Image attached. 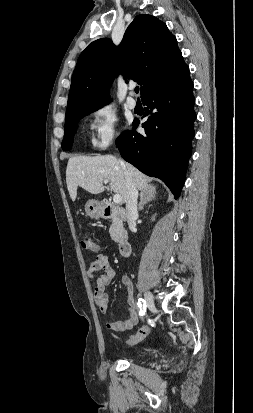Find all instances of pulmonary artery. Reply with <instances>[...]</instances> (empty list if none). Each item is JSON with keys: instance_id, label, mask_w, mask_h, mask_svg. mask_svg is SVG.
<instances>
[{"instance_id": "obj_1", "label": "pulmonary artery", "mask_w": 253, "mask_h": 413, "mask_svg": "<svg viewBox=\"0 0 253 413\" xmlns=\"http://www.w3.org/2000/svg\"><path fill=\"white\" fill-rule=\"evenodd\" d=\"M133 88H130V95L127 98V107L129 109H135L136 107V100L133 98Z\"/></svg>"}]
</instances>
